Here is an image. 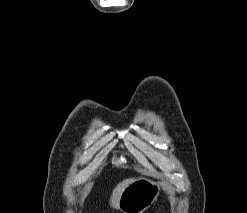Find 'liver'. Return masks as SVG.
I'll use <instances>...</instances> for the list:
<instances>
[{"instance_id":"liver-1","label":"liver","mask_w":247,"mask_h":213,"mask_svg":"<svg viewBox=\"0 0 247 213\" xmlns=\"http://www.w3.org/2000/svg\"><path fill=\"white\" fill-rule=\"evenodd\" d=\"M135 179L134 178H129L126 180H123L120 182L113 190L112 196L110 198V204L113 208H118V202L120 199V196L122 192L125 190V188L131 184Z\"/></svg>"}]
</instances>
